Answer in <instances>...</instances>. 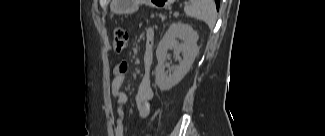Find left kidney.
<instances>
[{
  "instance_id": "1",
  "label": "left kidney",
  "mask_w": 325,
  "mask_h": 136,
  "mask_svg": "<svg viewBox=\"0 0 325 136\" xmlns=\"http://www.w3.org/2000/svg\"><path fill=\"white\" fill-rule=\"evenodd\" d=\"M198 33L188 24L173 23L161 39L156 50L158 64L155 68V81L161 91H166L178 84L190 70L198 54ZM179 40L182 43H179ZM169 49L182 52L183 59L172 72L165 71V60Z\"/></svg>"
}]
</instances>
